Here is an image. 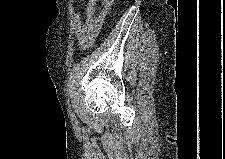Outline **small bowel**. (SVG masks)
Wrapping results in <instances>:
<instances>
[{
    "label": "small bowel",
    "mask_w": 225,
    "mask_h": 159,
    "mask_svg": "<svg viewBox=\"0 0 225 159\" xmlns=\"http://www.w3.org/2000/svg\"><path fill=\"white\" fill-rule=\"evenodd\" d=\"M112 5V0L102 1L99 12L96 14V3L90 0L86 7V17L82 20L79 16L76 25V37L81 49L90 47L97 36L103 19Z\"/></svg>",
    "instance_id": "small-bowel-1"
}]
</instances>
